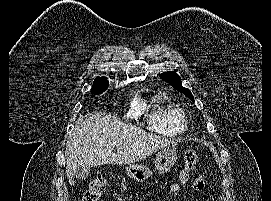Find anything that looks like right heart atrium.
Masks as SVG:
<instances>
[{"label": "right heart atrium", "mask_w": 271, "mask_h": 201, "mask_svg": "<svg viewBox=\"0 0 271 201\" xmlns=\"http://www.w3.org/2000/svg\"><path fill=\"white\" fill-rule=\"evenodd\" d=\"M137 115H138V107L136 105H133L130 111L128 112V116L134 118Z\"/></svg>", "instance_id": "d8ad5b80"}]
</instances>
